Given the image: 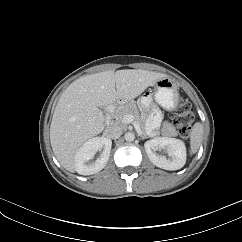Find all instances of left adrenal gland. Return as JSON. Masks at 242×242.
Returning <instances> with one entry per match:
<instances>
[{
	"label": "left adrenal gland",
	"instance_id": "1",
	"mask_svg": "<svg viewBox=\"0 0 242 242\" xmlns=\"http://www.w3.org/2000/svg\"><path fill=\"white\" fill-rule=\"evenodd\" d=\"M141 137V139H146L148 138L146 135H139Z\"/></svg>",
	"mask_w": 242,
	"mask_h": 242
}]
</instances>
